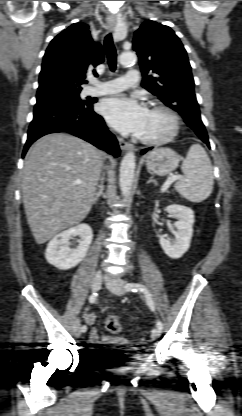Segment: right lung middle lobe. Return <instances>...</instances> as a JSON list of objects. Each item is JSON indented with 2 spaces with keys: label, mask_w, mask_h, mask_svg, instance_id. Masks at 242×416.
Returning a JSON list of instances; mask_svg holds the SVG:
<instances>
[{
  "label": "right lung middle lobe",
  "mask_w": 242,
  "mask_h": 416,
  "mask_svg": "<svg viewBox=\"0 0 242 416\" xmlns=\"http://www.w3.org/2000/svg\"><path fill=\"white\" fill-rule=\"evenodd\" d=\"M81 89L74 88H62L52 92L49 96L46 97H37V100L46 99V98H66L72 101H82L79 97Z\"/></svg>",
  "instance_id": "obj_1"
}]
</instances>
